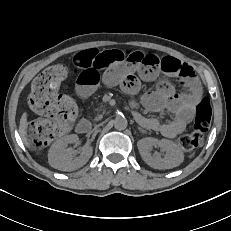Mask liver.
<instances>
[{"label": "liver", "instance_id": "1", "mask_svg": "<svg viewBox=\"0 0 231 231\" xmlns=\"http://www.w3.org/2000/svg\"><path fill=\"white\" fill-rule=\"evenodd\" d=\"M19 133L20 136L24 142V144L28 147L31 148L30 143L28 142L27 139V115L26 113H23L20 119V124H19Z\"/></svg>", "mask_w": 231, "mask_h": 231}]
</instances>
